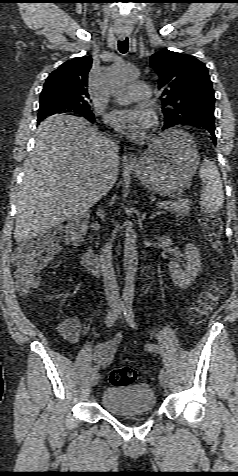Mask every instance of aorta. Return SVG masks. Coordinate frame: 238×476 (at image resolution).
I'll use <instances>...</instances> for the list:
<instances>
[{
  "label": "aorta",
  "instance_id": "762f6f07",
  "mask_svg": "<svg viewBox=\"0 0 238 476\" xmlns=\"http://www.w3.org/2000/svg\"><path fill=\"white\" fill-rule=\"evenodd\" d=\"M138 76V71L131 66L123 65L119 68H112L109 75V83L119 85L126 83ZM138 266V254L136 246V234L133 225L129 223L126 227L124 242V270L125 286L122 293L121 304L131 306L134 298L135 275Z\"/></svg>",
  "mask_w": 238,
  "mask_h": 476
}]
</instances>
